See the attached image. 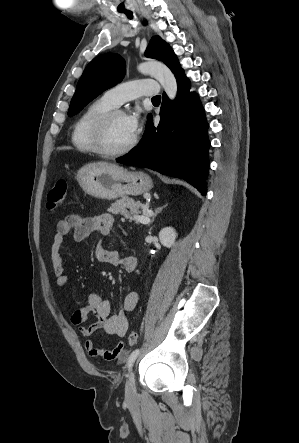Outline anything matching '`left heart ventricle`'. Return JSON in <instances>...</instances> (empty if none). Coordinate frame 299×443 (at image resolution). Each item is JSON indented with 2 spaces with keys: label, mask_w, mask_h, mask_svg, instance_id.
Listing matches in <instances>:
<instances>
[{
  "label": "left heart ventricle",
  "mask_w": 299,
  "mask_h": 443,
  "mask_svg": "<svg viewBox=\"0 0 299 443\" xmlns=\"http://www.w3.org/2000/svg\"><path fill=\"white\" fill-rule=\"evenodd\" d=\"M135 133L130 129L126 116L115 117L106 134L105 146L111 151L125 147L134 137Z\"/></svg>",
  "instance_id": "left-heart-ventricle-1"
}]
</instances>
